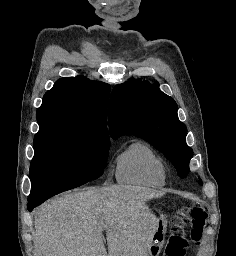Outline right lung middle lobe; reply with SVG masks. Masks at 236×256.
Here are the masks:
<instances>
[{
	"label": "right lung middle lobe",
	"mask_w": 236,
	"mask_h": 256,
	"mask_svg": "<svg viewBox=\"0 0 236 256\" xmlns=\"http://www.w3.org/2000/svg\"><path fill=\"white\" fill-rule=\"evenodd\" d=\"M30 200L79 187L103 174L109 137L70 127H44L34 138Z\"/></svg>",
	"instance_id": "dd1d6c3e"
}]
</instances>
